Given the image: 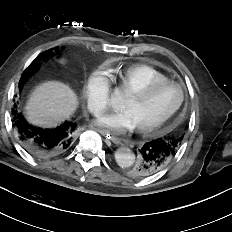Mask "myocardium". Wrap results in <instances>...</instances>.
<instances>
[{
  "label": "myocardium",
  "instance_id": "1",
  "mask_svg": "<svg viewBox=\"0 0 232 232\" xmlns=\"http://www.w3.org/2000/svg\"><path fill=\"white\" fill-rule=\"evenodd\" d=\"M166 86H176L177 88H179L180 99H179L178 103L175 105V107L168 114H166L159 121H157L153 124L147 125V126L138 127L137 131L139 133L144 134V135H149V134H152V133L156 132L157 130L161 129L162 127H164L182 107L184 100H185L186 92H185L184 87L180 83L173 81V80H165V81H160V82H153L151 84H148V85H146L138 90L129 92L127 94V96H129V97H133V98L139 99V100H144V99L148 98L156 90L163 88V87H166Z\"/></svg>",
  "mask_w": 232,
  "mask_h": 232
}]
</instances>
